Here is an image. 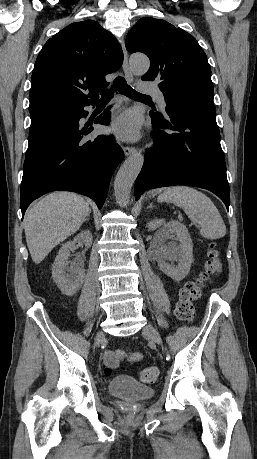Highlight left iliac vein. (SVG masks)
Wrapping results in <instances>:
<instances>
[{"label": "left iliac vein", "mask_w": 257, "mask_h": 459, "mask_svg": "<svg viewBox=\"0 0 257 459\" xmlns=\"http://www.w3.org/2000/svg\"><path fill=\"white\" fill-rule=\"evenodd\" d=\"M143 334L148 336L149 339L152 342H155L157 344H162V339L158 333V331L150 324L148 323L144 328H143Z\"/></svg>", "instance_id": "4c4485c4"}]
</instances>
